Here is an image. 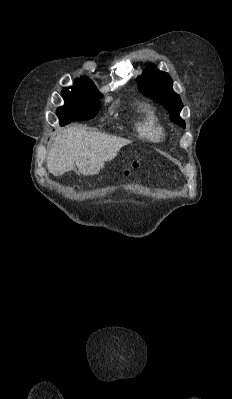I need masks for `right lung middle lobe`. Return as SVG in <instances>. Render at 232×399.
<instances>
[{
    "mask_svg": "<svg viewBox=\"0 0 232 399\" xmlns=\"http://www.w3.org/2000/svg\"><path fill=\"white\" fill-rule=\"evenodd\" d=\"M65 105L57 109V115L62 125L73 121H85L93 118L100 109L101 95H62Z\"/></svg>",
    "mask_w": 232,
    "mask_h": 399,
    "instance_id": "1",
    "label": "right lung middle lobe"
}]
</instances>
